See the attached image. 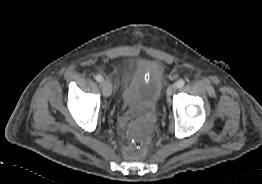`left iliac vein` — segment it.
Instances as JSON below:
<instances>
[{
    "label": "left iliac vein",
    "instance_id": "4c4485c4",
    "mask_svg": "<svg viewBox=\"0 0 262 184\" xmlns=\"http://www.w3.org/2000/svg\"><path fill=\"white\" fill-rule=\"evenodd\" d=\"M177 85L176 84H171L167 88V95L170 97L172 94L176 91Z\"/></svg>",
    "mask_w": 262,
    "mask_h": 184
}]
</instances>
